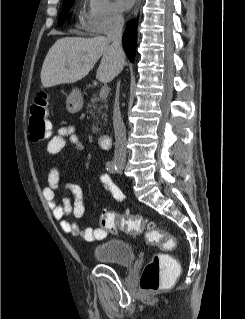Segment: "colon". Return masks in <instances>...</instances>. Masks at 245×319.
I'll return each mask as SVG.
<instances>
[{"instance_id":"5ec220e1","label":"colon","mask_w":245,"mask_h":319,"mask_svg":"<svg viewBox=\"0 0 245 319\" xmlns=\"http://www.w3.org/2000/svg\"><path fill=\"white\" fill-rule=\"evenodd\" d=\"M48 107L49 102L46 94H39L30 107L29 133L30 139L35 143L45 140L50 134ZM100 223L104 229L111 233L121 231L125 234H137L144 231L150 243L160 246L165 251L176 248L174 237L165 234L154 222L140 217L103 211ZM179 271V265L172 262L165 253L155 254L143 269L140 287L145 292L157 291L176 277Z\"/></svg>"}]
</instances>
